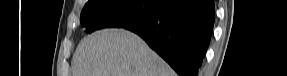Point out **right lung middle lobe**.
<instances>
[{
    "instance_id": "obj_1",
    "label": "right lung middle lobe",
    "mask_w": 287,
    "mask_h": 76,
    "mask_svg": "<svg viewBox=\"0 0 287 76\" xmlns=\"http://www.w3.org/2000/svg\"><path fill=\"white\" fill-rule=\"evenodd\" d=\"M162 0H91L80 16L86 33L103 28H126L150 18Z\"/></svg>"
}]
</instances>
